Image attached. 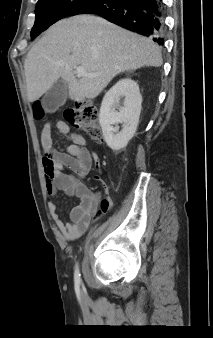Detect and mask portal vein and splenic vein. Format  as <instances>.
<instances>
[{
  "label": "portal vein and splenic vein",
  "instance_id": "obj_1",
  "mask_svg": "<svg viewBox=\"0 0 213 338\" xmlns=\"http://www.w3.org/2000/svg\"><path fill=\"white\" fill-rule=\"evenodd\" d=\"M75 73L78 77H94L95 74H89L85 71L83 67H77Z\"/></svg>",
  "mask_w": 213,
  "mask_h": 338
}]
</instances>
